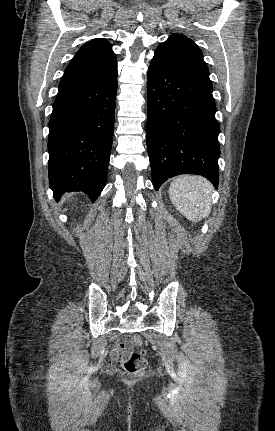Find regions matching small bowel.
I'll use <instances>...</instances> for the list:
<instances>
[{"label": "small bowel", "instance_id": "small-bowel-1", "mask_svg": "<svg viewBox=\"0 0 275 431\" xmlns=\"http://www.w3.org/2000/svg\"><path fill=\"white\" fill-rule=\"evenodd\" d=\"M131 346L125 344V339L117 341L112 349L111 356L115 363H120L130 352Z\"/></svg>", "mask_w": 275, "mask_h": 431}]
</instances>
